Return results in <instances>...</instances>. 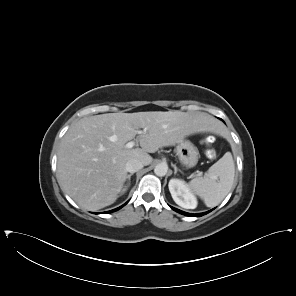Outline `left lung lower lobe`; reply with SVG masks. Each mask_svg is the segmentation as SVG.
<instances>
[{
  "instance_id": "obj_1",
  "label": "left lung lower lobe",
  "mask_w": 296,
  "mask_h": 296,
  "mask_svg": "<svg viewBox=\"0 0 296 296\" xmlns=\"http://www.w3.org/2000/svg\"><path fill=\"white\" fill-rule=\"evenodd\" d=\"M173 210H175L176 212L180 213V214H183V215H187V216H197V217H200V216H203L204 214H207L208 212H205V213H199V214H189V213H186V212H183L181 210H178L174 207H171Z\"/></svg>"
}]
</instances>
